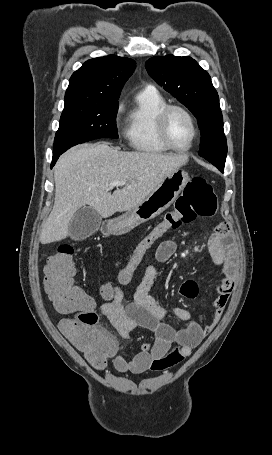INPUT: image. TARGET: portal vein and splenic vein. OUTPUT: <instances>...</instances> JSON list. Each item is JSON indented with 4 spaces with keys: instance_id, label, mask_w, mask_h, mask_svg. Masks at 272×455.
<instances>
[{
    "instance_id": "obj_1",
    "label": "portal vein and splenic vein",
    "mask_w": 272,
    "mask_h": 455,
    "mask_svg": "<svg viewBox=\"0 0 272 455\" xmlns=\"http://www.w3.org/2000/svg\"><path fill=\"white\" fill-rule=\"evenodd\" d=\"M127 183L126 180H123V181H112L109 186L110 187H118V186H123Z\"/></svg>"
}]
</instances>
